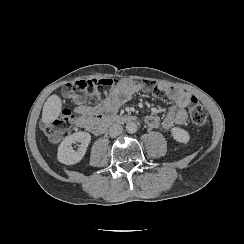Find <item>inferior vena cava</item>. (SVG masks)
<instances>
[{
  "mask_svg": "<svg viewBox=\"0 0 244 244\" xmlns=\"http://www.w3.org/2000/svg\"><path fill=\"white\" fill-rule=\"evenodd\" d=\"M122 131H123L122 126L115 124L109 128V135H110V137L114 138V137L119 136L122 133Z\"/></svg>",
  "mask_w": 244,
  "mask_h": 244,
  "instance_id": "602c4592",
  "label": "inferior vena cava"
}]
</instances>
